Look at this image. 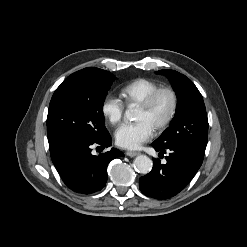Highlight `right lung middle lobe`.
Instances as JSON below:
<instances>
[{"label": "right lung middle lobe", "instance_id": "dd1d6c3e", "mask_svg": "<svg viewBox=\"0 0 247 247\" xmlns=\"http://www.w3.org/2000/svg\"><path fill=\"white\" fill-rule=\"evenodd\" d=\"M115 77L88 67L67 77L54 92L47 116L50 152L74 142L95 141L108 131L103 104Z\"/></svg>", "mask_w": 247, "mask_h": 247}]
</instances>
